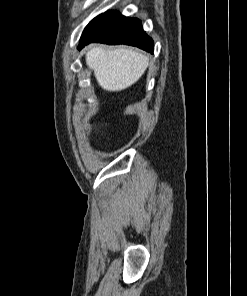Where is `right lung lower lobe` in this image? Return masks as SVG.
Instances as JSON below:
<instances>
[{"label":"right lung lower lobe","mask_w":247,"mask_h":296,"mask_svg":"<svg viewBox=\"0 0 247 296\" xmlns=\"http://www.w3.org/2000/svg\"><path fill=\"white\" fill-rule=\"evenodd\" d=\"M92 42L105 44H126L147 52L154 51L153 40L144 32L141 21L128 18L116 11H107L86 27V36L78 49Z\"/></svg>","instance_id":"obj_1"}]
</instances>
